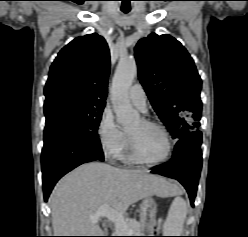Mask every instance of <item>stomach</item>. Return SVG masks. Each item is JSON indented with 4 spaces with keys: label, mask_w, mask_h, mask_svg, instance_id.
I'll use <instances>...</instances> for the list:
<instances>
[{
    "label": "stomach",
    "mask_w": 248,
    "mask_h": 237,
    "mask_svg": "<svg viewBox=\"0 0 248 237\" xmlns=\"http://www.w3.org/2000/svg\"><path fill=\"white\" fill-rule=\"evenodd\" d=\"M171 195L170 192L161 195V197H165ZM157 212V204L152 197H146L142 201L140 206V216L143 221L144 230L152 231L153 222Z\"/></svg>",
    "instance_id": "obj_1"
}]
</instances>
